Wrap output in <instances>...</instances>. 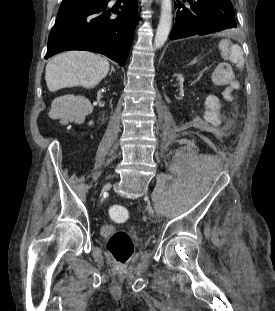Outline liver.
Listing matches in <instances>:
<instances>
[{"instance_id": "1", "label": "liver", "mask_w": 275, "mask_h": 311, "mask_svg": "<svg viewBox=\"0 0 275 311\" xmlns=\"http://www.w3.org/2000/svg\"><path fill=\"white\" fill-rule=\"evenodd\" d=\"M110 68L109 62L94 53L86 51H68L48 61L45 80L51 92L66 87H95Z\"/></svg>"}]
</instances>
